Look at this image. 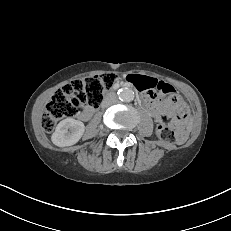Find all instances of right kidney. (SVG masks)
I'll list each match as a JSON object with an SVG mask.
<instances>
[{
	"mask_svg": "<svg viewBox=\"0 0 231 231\" xmlns=\"http://www.w3.org/2000/svg\"><path fill=\"white\" fill-rule=\"evenodd\" d=\"M84 131L85 126L81 121L66 118L57 125L51 139L56 146H71L80 140Z\"/></svg>",
	"mask_w": 231,
	"mask_h": 231,
	"instance_id": "1",
	"label": "right kidney"
}]
</instances>
